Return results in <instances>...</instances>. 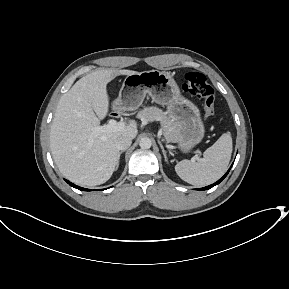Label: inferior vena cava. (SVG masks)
I'll use <instances>...</instances> for the list:
<instances>
[{
    "instance_id": "inferior-vena-cava-1",
    "label": "inferior vena cava",
    "mask_w": 289,
    "mask_h": 289,
    "mask_svg": "<svg viewBox=\"0 0 289 289\" xmlns=\"http://www.w3.org/2000/svg\"><path fill=\"white\" fill-rule=\"evenodd\" d=\"M132 143V139L128 136H121L118 138L116 142V146L118 150H126L127 148L130 147Z\"/></svg>"
}]
</instances>
